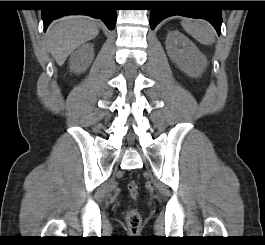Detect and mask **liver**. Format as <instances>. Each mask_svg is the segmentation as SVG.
<instances>
[{
	"instance_id": "obj_1",
	"label": "liver",
	"mask_w": 265,
	"mask_h": 245,
	"mask_svg": "<svg viewBox=\"0 0 265 245\" xmlns=\"http://www.w3.org/2000/svg\"><path fill=\"white\" fill-rule=\"evenodd\" d=\"M99 22L87 16H65L51 23L47 30V46L56 63L61 66L79 46L99 34Z\"/></svg>"
}]
</instances>
